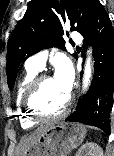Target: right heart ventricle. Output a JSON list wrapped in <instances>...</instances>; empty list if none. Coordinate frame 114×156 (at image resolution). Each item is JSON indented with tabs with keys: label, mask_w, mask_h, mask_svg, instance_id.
I'll return each instance as SVG.
<instances>
[{
	"label": "right heart ventricle",
	"mask_w": 114,
	"mask_h": 156,
	"mask_svg": "<svg viewBox=\"0 0 114 156\" xmlns=\"http://www.w3.org/2000/svg\"><path fill=\"white\" fill-rule=\"evenodd\" d=\"M38 73L39 70L26 66L25 72L20 78L16 88L15 93L16 114L19 117L21 127L24 129L31 128L37 123L36 120L32 119L28 115V113L23 107L22 101L27 86L38 75Z\"/></svg>",
	"instance_id": "e07e8e85"
}]
</instances>
